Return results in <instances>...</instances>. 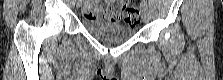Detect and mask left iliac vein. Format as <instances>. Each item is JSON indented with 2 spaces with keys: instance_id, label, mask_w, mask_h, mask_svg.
<instances>
[{
  "instance_id": "left-iliac-vein-1",
  "label": "left iliac vein",
  "mask_w": 223,
  "mask_h": 80,
  "mask_svg": "<svg viewBox=\"0 0 223 80\" xmlns=\"http://www.w3.org/2000/svg\"><path fill=\"white\" fill-rule=\"evenodd\" d=\"M141 12H142V20L144 23H147L149 21V11L146 6V4H143L141 6Z\"/></svg>"
}]
</instances>
